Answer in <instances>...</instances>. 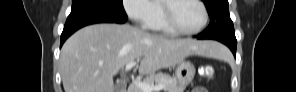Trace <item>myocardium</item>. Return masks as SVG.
Masks as SVG:
<instances>
[{
    "instance_id": "1",
    "label": "myocardium",
    "mask_w": 296,
    "mask_h": 92,
    "mask_svg": "<svg viewBox=\"0 0 296 92\" xmlns=\"http://www.w3.org/2000/svg\"><path fill=\"white\" fill-rule=\"evenodd\" d=\"M180 0H168V1H163V17H164V22L166 26L173 32L181 35H195L199 32H201L207 25L209 15H208V10L204 4V2L200 0H192L196 2L202 9L203 11V21L199 27H197L194 30H184L181 29L176 22L174 21L173 15H172V9L173 6L179 2Z\"/></svg>"
}]
</instances>
